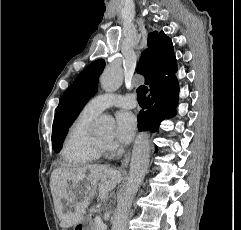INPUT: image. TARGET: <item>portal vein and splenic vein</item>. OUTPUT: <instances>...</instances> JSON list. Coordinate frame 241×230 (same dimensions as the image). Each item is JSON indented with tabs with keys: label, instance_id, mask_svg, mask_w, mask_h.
Instances as JSON below:
<instances>
[{
	"label": "portal vein and splenic vein",
	"instance_id": "portal-vein-and-splenic-vein-1",
	"mask_svg": "<svg viewBox=\"0 0 241 230\" xmlns=\"http://www.w3.org/2000/svg\"><path fill=\"white\" fill-rule=\"evenodd\" d=\"M95 223L98 225V227L101 228V230H104L106 228V225L102 223L101 218L99 216L95 217Z\"/></svg>",
	"mask_w": 241,
	"mask_h": 230
}]
</instances>
